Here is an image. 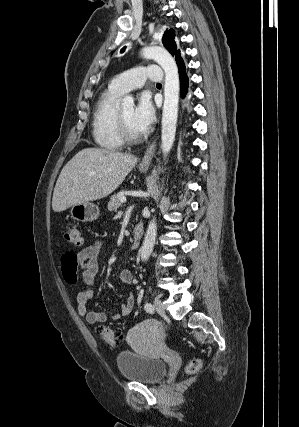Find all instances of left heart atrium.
I'll use <instances>...</instances> for the list:
<instances>
[{
  "mask_svg": "<svg viewBox=\"0 0 299 427\" xmlns=\"http://www.w3.org/2000/svg\"><path fill=\"white\" fill-rule=\"evenodd\" d=\"M154 121V107L147 96H142L133 110V125L139 132H146L151 128Z\"/></svg>",
  "mask_w": 299,
  "mask_h": 427,
  "instance_id": "1",
  "label": "left heart atrium"
}]
</instances>
